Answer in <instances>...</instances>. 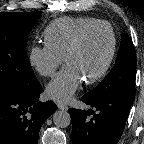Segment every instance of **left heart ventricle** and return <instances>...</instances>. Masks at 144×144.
<instances>
[{
  "mask_svg": "<svg viewBox=\"0 0 144 144\" xmlns=\"http://www.w3.org/2000/svg\"><path fill=\"white\" fill-rule=\"evenodd\" d=\"M112 37L107 27L89 32L67 64L73 66L82 79L94 76L103 67L111 50Z\"/></svg>",
  "mask_w": 144,
  "mask_h": 144,
  "instance_id": "b2bd125f",
  "label": "left heart ventricle"
}]
</instances>
